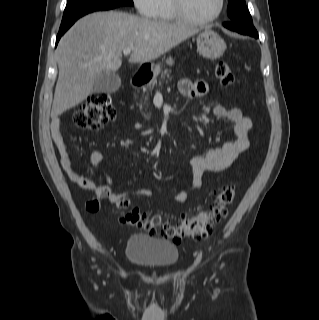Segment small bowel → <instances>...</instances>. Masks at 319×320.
Returning <instances> with one entry per match:
<instances>
[{
  "mask_svg": "<svg viewBox=\"0 0 319 320\" xmlns=\"http://www.w3.org/2000/svg\"><path fill=\"white\" fill-rule=\"evenodd\" d=\"M208 91L207 84L203 81L191 82L189 80L180 81V92L188 98L203 96ZM213 115L230 121L234 126L235 139L225 143L222 147L212 149L190 159L192 178L190 184L177 194L172 200L175 203H184L192 191L201 188L203 184V174L205 172L216 173L227 169L235 159L250 146V131L252 121L243 115L239 108L227 109L221 104L213 107ZM52 140L59 155L60 163L68 178L80 188L93 192L98 197L106 198L110 203H116L123 197L110 191L112 185L111 177L101 169V165L108 158L102 152H92L89 155L91 166L99 171L103 184H97L94 180L84 177L74 166L64 138L60 132V122L58 119L51 121ZM155 193L154 189L144 188L137 190L136 195L149 198Z\"/></svg>",
  "mask_w": 319,
  "mask_h": 320,
  "instance_id": "small-bowel-1",
  "label": "small bowel"
}]
</instances>
